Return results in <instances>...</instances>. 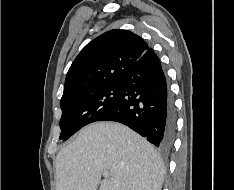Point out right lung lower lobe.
Instances as JSON below:
<instances>
[{"label": "right lung lower lobe", "instance_id": "1", "mask_svg": "<svg viewBox=\"0 0 234 190\" xmlns=\"http://www.w3.org/2000/svg\"><path fill=\"white\" fill-rule=\"evenodd\" d=\"M114 106L98 121H116L146 137L161 150L172 147L176 129L173 100L159 58L150 48L118 82Z\"/></svg>", "mask_w": 234, "mask_h": 190}]
</instances>
